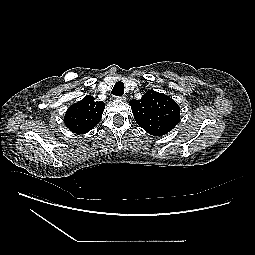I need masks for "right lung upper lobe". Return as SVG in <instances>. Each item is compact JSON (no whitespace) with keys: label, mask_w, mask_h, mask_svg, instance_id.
<instances>
[{"label":"right lung upper lobe","mask_w":255,"mask_h":255,"mask_svg":"<svg viewBox=\"0 0 255 255\" xmlns=\"http://www.w3.org/2000/svg\"><path fill=\"white\" fill-rule=\"evenodd\" d=\"M94 100L93 96L86 95L68 108L64 121L72 132L85 134L100 122L105 103Z\"/></svg>","instance_id":"cb5924a9"}]
</instances>
